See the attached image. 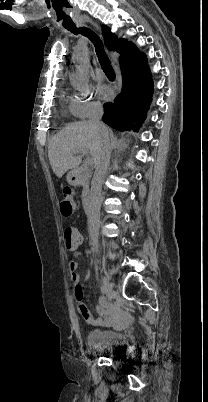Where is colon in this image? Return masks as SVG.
Here are the masks:
<instances>
[{"instance_id": "5ec220e1", "label": "colon", "mask_w": 208, "mask_h": 402, "mask_svg": "<svg viewBox=\"0 0 208 402\" xmlns=\"http://www.w3.org/2000/svg\"><path fill=\"white\" fill-rule=\"evenodd\" d=\"M63 193L65 196H68L71 194V190L68 187L64 188ZM61 212L62 214H73L74 207L73 205H62ZM63 239L68 250H75L78 248L79 235L74 227H66L64 229ZM79 309L83 317H88L89 309L85 300L79 302Z\"/></svg>"}]
</instances>
